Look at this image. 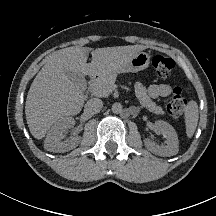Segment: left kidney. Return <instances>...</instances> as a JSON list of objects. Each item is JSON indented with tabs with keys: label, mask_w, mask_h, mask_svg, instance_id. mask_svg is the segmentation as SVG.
Returning <instances> with one entry per match:
<instances>
[{
	"label": "left kidney",
	"mask_w": 216,
	"mask_h": 216,
	"mask_svg": "<svg viewBox=\"0 0 216 216\" xmlns=\"http://www.w3.org/2000/svg\"><path fill=\"white\" fill-rule=\"evenodd\" d=\"M155 131L166 138V146L160 147L150 139L144 141L145 147L154 154L169 157L178 153V136L175 129L167 122L158 120L155 122Z\"/></svg>",
	"instance_id": "left-kidney-1"
}]
</instances>
